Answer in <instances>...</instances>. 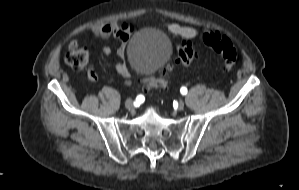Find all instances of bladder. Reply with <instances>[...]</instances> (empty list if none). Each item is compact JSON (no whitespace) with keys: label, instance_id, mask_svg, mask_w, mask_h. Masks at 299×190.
Listing matches in <instances>:
<instances>
[{"label":"bladder","instance_id":"obj_1","mask_svg":"<svg viewBox=\"0 0 299 190\" xmlns=\"http://www.w3.org/2000/svg\"><path fill=\"white\" fill-rule=\"evenodd\" d=\"M172 46L164 34L156 30L136 33L127 47V59L133 73L151 76L170 58Z\"/></svg>","mask_w":299,"mask_h":190}]
</instances>
